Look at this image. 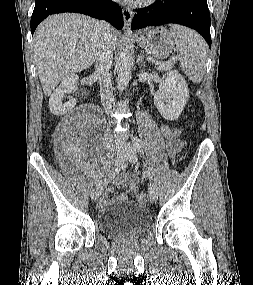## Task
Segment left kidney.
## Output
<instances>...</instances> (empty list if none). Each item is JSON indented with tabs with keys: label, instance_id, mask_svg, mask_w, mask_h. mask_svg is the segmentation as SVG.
<instances>
[{
	"label": "left kidney",
	"instance_id": "5707ae66",
	"mask_svg": "<svg viewBox=\"0 0 253 285\" xmlns=\"http://www.w3.org/2000/svg\"><path fill=\"white\" fill-rule=\"evenodd\" d=\"M188 99L189 90L185 79L178 71L168 70L154 95V104L160 114L166 120L178 119Z\"/></svg>",
	"mask_w": 253,
	"mask_h": 285
}]
</instances>
